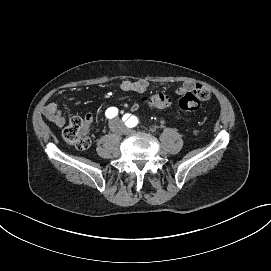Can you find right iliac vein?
<instances>
[{
	"mask_svg": "<svg viewBox=\"0 0 271 271\" xmlns=\"http://www.w3.org/2000/svg\"><path fill=\"white\" fill-rule=\"evenodd\" d=\"M111 126H115L114 132H119V130L126 132L120 120H114V123Z\"/></svg>",
	"mask_w": 271,
	"mask_h": 271,
	"instance_id": "right-iliac-vein-1",
	"label": "right iliac vein"
}]
</instances>
